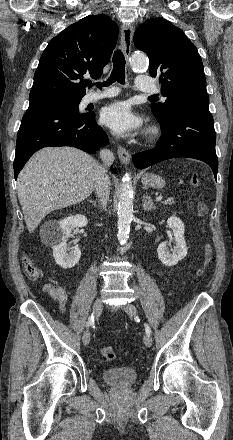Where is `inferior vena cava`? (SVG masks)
Returning <instances> with one entry per match:
<instances>
[{"label":"inferior vena cava","mask_w":233,"mask_h":440,"mask_svg":"<svg viewBox=\"0 0 233 440\" xmlns=\"http://www.w3.org/2000/svg\"><path fill=\"white\" fill-rule=\"evenodd\" d=\"M103 165H99V172L95 183V190L100 198L103 209H106L107 200L109 198L110 178L107 175V169L114 160V155L110 150L103 149L100 152Z\"/></svg>","instance_id":"1"}]
</instances>
